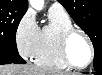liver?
Wrapping results in <instances>:
<instances>
[{"mask_svg": "<svg viewBox=\"0 0 102 75\" xmlns=\"http://www.w3.org/2000/svg\"><path fill=\"white\" fill-rule=\"evenodd\" d=\"M0 75H65L36 65L8 64L0 66Z\"/></svg>", "mask_w": 102, "mask_h": 75, "instance_id": "6515ba94", "label": "liver"}]
</instances>
